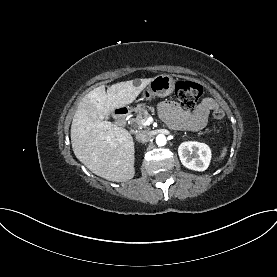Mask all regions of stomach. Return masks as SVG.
<instances>
[{
	"label": "stomach",
	"instance_id": "1",
	"mask_svg": "<svg viewBox=\"0 0 277 277\" xmlns=\"http://www.w3.org/2000/svg\"><path fill=\"white\" fill-rule=\"evenodd\" d=\"M174 79L166 74L158 75L152 79L147 88L144 90V97L151 96L165 97L174 90Z\"/></svg>",
	"mask_w": 277,
	"mask_h": 277
}]
</instances>
